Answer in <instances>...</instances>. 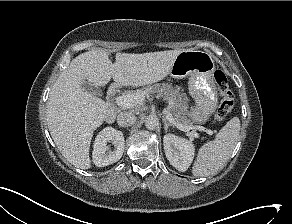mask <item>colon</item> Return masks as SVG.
Returning <instances> with one entry per match:
<instances>
[{"mask_svg": "<svg viewBox=\"0 0 292 224\" xmlns=\"http://www.w3.org/2000/svg\"><path fill=\"white\" fill-rule=\"evenodd\" d=\"M214 80L219 89L220 97L215 111V120H223L232 110L234 104L233 93L226 74L222 70H216Z\"/></svg>", "mask_w": 292, "mask_h": 224, "instance_id": "1", "label": "colon"}]
</instances>
